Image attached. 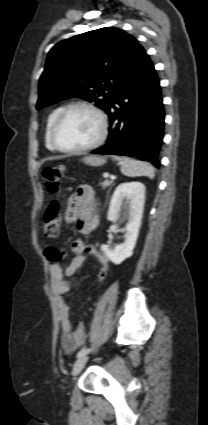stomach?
<instances>
[{
  "instance_id": "stomach-1",
  "label": "stomach",
  "mask_w": 208,
  "mask_h": 425,
  "mask_svg": "<svg viewBox=\"0 0 208 425\" xmlns=\"http://www.w3.org/2000/svg\"><path fill=\"white\" fill-rule=\"evenodd\" d=\"M82 161L90 166H101L104 165L106 160L103 157L88 155L82 159Z\"/></svg>"
}]
</instances>
